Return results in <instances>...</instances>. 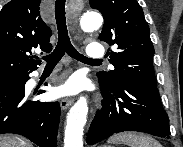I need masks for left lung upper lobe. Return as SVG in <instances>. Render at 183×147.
Masks as SVG:
<instances>
[{
	"label": "left lung upper lobe",
	"instance_id": "obj_1",
	"mask_svg": "<svg viewBox=\"0 0 183 147\" xmlns=\"http://www.w3.org/2000/svg\"><path fill=\"white\" fill-rule=\"evenodd\" d=\"M90 6L104 18L99 39L115 45L109 55L114 70L100 71L99 84L113 88L123 80H137L157 85L154 68V47L149 26L136 0H90Z\"/></svg>",
	"mask_w": 183,
	"mask_h": 147
}]
</instances>
